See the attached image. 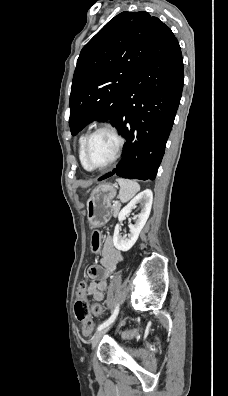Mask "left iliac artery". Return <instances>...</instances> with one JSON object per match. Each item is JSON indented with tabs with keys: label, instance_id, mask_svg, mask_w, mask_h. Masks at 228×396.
I'll return each mask as SVG.
<instances>
[{
	"label": "left iliac artery",
	"instance_id": "left-iliac-artery-1",
	"mask_svg": "<svg viewBox=\"0 0 228 396\" xmlns=\"http://www.w3.org/2000/svg\"><path fill=\"white\" fill-rule=\"evenodd\" d=\"M118 313H119V305H116L112 315L106 321H104L102 324H100L97 327V331H99V330L105 328L106 326H108L109 324H111L115 320V318L117 317Z\"/></svg>",
	"mask_w": 228,
	"mask_h": 396
}]
</instances>
